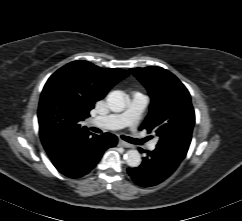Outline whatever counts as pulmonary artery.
Here are the masks:
<instances>
[{
  "mask_svg": "<svg viewBox=\"0 0 242 221\" xmlns=\"http://www.w3.org/2000/svg\"><path fill=\"white\" fill-rule=\"evenodd\" d=\"M150 100L149 97L142 93H134L130 101L125 108L120 113L111 114L104 117H97L93 119V123L96 125H101L103 128L106 129H119L122 127H132L134 128L144 111V109L148 106ZM136 136V134H133ZM156 146V142H151L148 145L150 150H154Z\"/></svg>",
  "mask_w": 242,
  "mask_h": 221,
  "instance_id": "pulmonary-artery-1",
  "label": "pulmonary artery"
}]
</instances>
